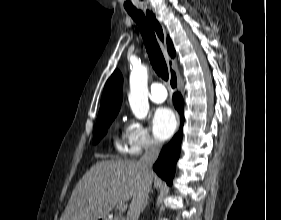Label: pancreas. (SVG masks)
I'll return each mask as SVG.
<instances>
[{
	"instance_id": "cf45deb5",
	"label": "pancreas",
	"mask_w": 281,
	"mask_h": 220,
	"mask_svg": "<svg viewBox=\"0 0 281 220\" xmlns=\"http://www.w3.org/2000/svg\"><path fill=\"white\" fill-rule=\"evenodd\" d=\"M114 220H124L122 216L116 217Z\"/></svg>"
}]
</instances>
